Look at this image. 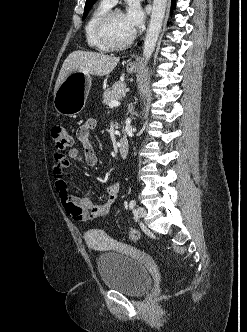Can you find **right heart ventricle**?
<instances>
[{"mask_svg":"<svg viewBox=\"0 0 247 332\" xmlns=\"http://www.w3.org/2000/svg\"><path fill=\"white\" fill-rule=\"evenodd\" d=\"M112 5L107 3L104 0H101L95 8L90 13L87 22L85 24L84 32H85V38L87 45L93 49L100 52H105L108 49L100 43V41L97 39L95 34V26L98 22V20L101 18V16L106 13Z\"/></svg>","mask_w":247,"mask_h":332,"instance_id":"obj_1","label":"right heart ventricle"}]
</instances>
